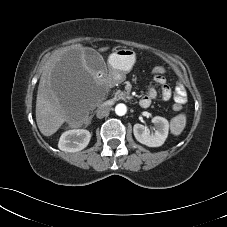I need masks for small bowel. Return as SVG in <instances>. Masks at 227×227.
<instances>
[{"mask_svg":"<svg viewBox=\"0 0 227 227\" xmlns=\"http://www.w3.org/2000/svg\"><path fill=\"white\" fill-rule=\"evenodd\" d=\"M153 80L156 84L161 86L162 98L164 101L170 100L172 93L170 88L166 85L165 77L160 75H155ZM157 97V91L153 86L148 88V92L145 96L142 97V100L147 104V107L151 104V101ZM186 91L182 84L178 83L175 89L174 101L176 104L182 105L186 102Z\"/></svg>","mask_w":227,"mask_h":227,"instance_id":"c3829d8e","label":"small bowel"}]
</instances>
